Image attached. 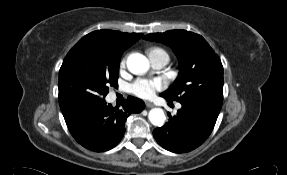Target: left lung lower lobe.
I'll use <instances>...</instances> for the list:
<instances>
[{
    "mask_svg": "<svg viewBox=\"0 0 287 175\" xmlns=\"http://www.w3.org/2000/svg\"><path fill=\"white\" fill-rule=\"evenodd\" d=\"M168 116L169 121L156 128L153 135L160 146L174 153L189 152L200 146L216 123V119L207 113L187 104H182L176 116L172 117L170 113Z\"/></svg>",
    "mask_w": 287,
    "mask_h": 175,
    "instance_id": "left-lung-lower-lobe-1",
    "label": "left lung lower lobe"
}]
</instances>
